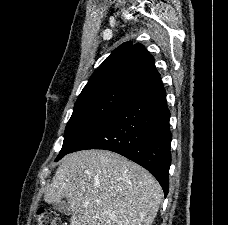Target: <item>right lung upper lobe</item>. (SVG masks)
Listing matches in <instances>:
<instances>
[{
	"instance_id": "obj_1",
	"label": "right lung upper lobe",
	"mask_w": 228,
	"mask_h": 225,
	"mask_svg": "<svg viewBox=\"0 0 228 225\" xmlns=\"http://www.w3.org/2000/svg\"><path fill=\"white\" fill-rule=\"evenodd\" d=\"M160 74L155 68L154 58L140 43L126 42L94 71L83 90L102 84L122 82L142 89Z\"/></svg>"
}]
</instances>
